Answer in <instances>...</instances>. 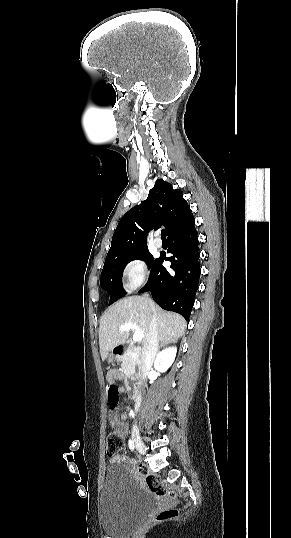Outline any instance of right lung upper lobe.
<instances>
[{
  "instance_id": "1",
  "label": "right lung upper lobe",
  "mask_w": 291,
  "mask_h": 538,
  "mask_svg": "<svg viewBox=\"0 0 291 538\" xmlns=\"http://www.w3.org/2000/svg\"><path fill=\"white\" fill-rule=\"evenodd\" d=\"M193 221L192 211L182 191L174 190L170 183L158 179L147 199L121 218L106 259L146 249L147 232L153 228L164 225L169 236Z\"/></svg>"
}]
</instances>
